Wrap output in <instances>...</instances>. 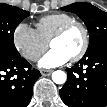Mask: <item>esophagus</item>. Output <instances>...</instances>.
Masks as SVG:
<instances>
[{"label": "esophagus", "mask_w": 107, "mask_h": 107, "mask_svg": "<svg viewBox=\"0 0 107 107\" xmlns=\"http://www.w3.org/2000/svg\"><path fill=\"white\" fill-rule=\"evenodd\" d=\"M53 70H41L42 76H49Z\"/></svg>", "instance_id": "obj_1"}]
</instances>
